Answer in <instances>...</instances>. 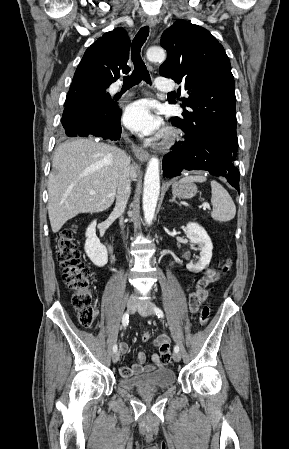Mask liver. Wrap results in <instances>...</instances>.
Listing matches in <instances>:
<instances>
[{"instance_id": "obj_1", "label": "liver", "mask_w": 289, "mask_h": 449, "mask_svg": "<svg viewBox=\"0 0 289 449\" xmlns=\"http://www.w3.org/2000/svg\"><path fill=\"white\" fill-rule=\"evenodd\" d=\"M129 158L121 149L92 139L57 147L48 178V215L57 233L80 213L102 212L114 202L119 178ZM131 176L136 178L135 167ZM90 191L95 194L91 195Z\"/></svg>"}]
</instances>
